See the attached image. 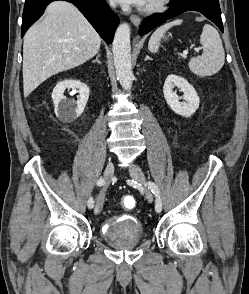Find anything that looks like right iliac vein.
Instances as JSON below:
<instances>
[{
	"instance_id": "obj_1",
	"label": "right iliac vein",
	"mask_w": 249,
	"mask_h": 294,
	"mask_svg": "<svg viewBox=\"0 0 249 294\" xmlns=\"http://www.w3.org/2000/svg\"><path fill=\"white\" fill-rule=\"evenodd\" d=\"M113 174H114V164L113 162H109L104 170V179L106 180V185L111 181ZM103 205H104V190L99 194L96 200L94 213L99 214L101 210L103 209Z\"/></svg>"
}]
</instances>
